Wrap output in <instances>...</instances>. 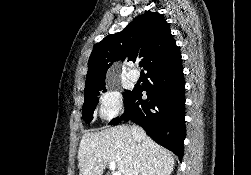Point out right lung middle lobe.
<instances>
[{
	"mask_svg": "<svg viewBox=\"0 0 251 175\" xmlns=\"http://www.w3.org/2000/svg\"><path fill=\"white\" fill-rule=\"evenodd\" d=\"M106 91L105 86L88 87L84 90L85 101L82 107V115L86 123L93 119V112L102 93ZM129 91L125 90L124 96Z\"/></svg>",
	"mask_w": 251,
	"mask_h": 175,
	"instance_id": "obj_1",
	"label": "right lung middle lobe"
}]
</instances>
